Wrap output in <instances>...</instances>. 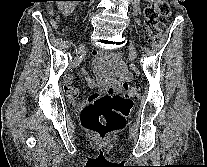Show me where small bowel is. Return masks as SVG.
<instances>
[{
    "instance_id": "1",
    "label": "small bowel",
    "mask_w": 207,
    "mask_h": 167,
    "mask_svg": "<svg viewBox=\"0 0 207 167\" xmlns=\"http://www.w3.org/2000/svg\"><path fill=\"white\" fill-rule=\"evenodd\" d=\"M82 73L85 75V80L87 81L89 86L92 88H97L100 91H105L110 86L114 88H118L120 86L121 81L130 79V73L123 65H117L113 67L112 74H111L112 84L109 83L106 77H102L99 82H95L94 79L88 76L84 70H82ZM72 81L73 78L70 76L67 77L65 80V91L72 105L77 106L80 109H83L98 98L99 94H94L89 98L81 102H78L77 97L79 92L76 88L72 86Z\"/></svg>"
}]
</instances>
